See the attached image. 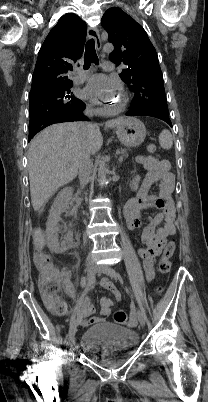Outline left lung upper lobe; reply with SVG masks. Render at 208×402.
Returning <instances> with one entry per match:
<instances>
[{
	"label": "left lung upper lobe",
	"instance_id": "5c2ea615",
	"mask_svg": "<svg viewBox=\"0 0 208 402\" xmlns=\"http://www.w3.org/2000/svg\"><path fill=\"white\" fill-rule=\"evenodd\" d=\"M101 23L114 45L109 59L125 66L120 77L134 93L130 108L169 117L158 56L144 28L116 7L104 13Z\"/></svg>",
	"mask_w": 208,
	"mask_h": 402
}]
</instances>
